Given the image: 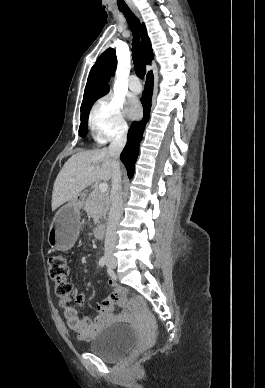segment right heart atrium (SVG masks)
Masks as SVG:
<instances>
[{"mask_svg":"<svg viewBox=\"0 0 265 388\" xmlns=\"http://www.w3.org/2000/svg\"><path fill=\"white\" fill-rule=\"evenodd\" d=\"M92 121L101 140H108L115 133L125 130L122 101L112 95L99 99L92 110Z\"/></svg>","mask_w":265,"mask_h":388,"instance_id":"d8ad5b80","label":"right heart atrium"}]
</instances>
